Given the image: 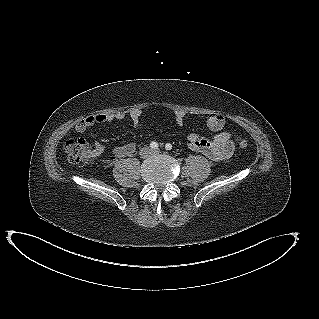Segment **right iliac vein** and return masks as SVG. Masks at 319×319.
<instances>
[{"instance_id": "1", "label": "right iliac vein", "mask_w": 319, "mask_h": 319, "mask_svg": "<svg viewBox=\"0 0 319 319\" xmlns=\"http://www.w3.org/2000/svg\"><path fill=\"white\" fill-rule=\"evenodd\" d=\"M149 154H151V150L149 148H143L141 151V155L143 157H147Z\"/></svg>"}]
</instances>
